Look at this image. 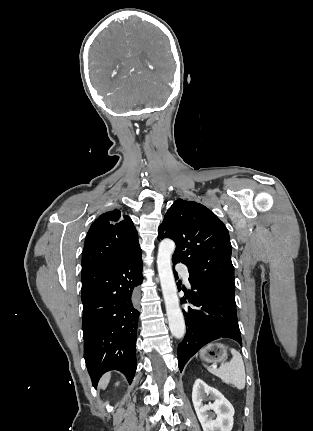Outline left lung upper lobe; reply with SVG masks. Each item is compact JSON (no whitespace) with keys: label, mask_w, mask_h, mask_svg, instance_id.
Instances as JSON below:
<instances>
[{"label":"left lung upper lobe","mask_w":313,"mask_h":431,"mask_svg":"<svg viewBox=\"0 0 313 431\" xmlns=\"http://www.w3.org/2000/svg\"><path fill=\"white\" fill-rule=\"evenodd\" d=\"M176 243L172 261L188 266L192 284L235 293L231 243L224 223L202 204L178 199L158 228Z\"/></svg>","instance_id":"obj_1"}]
</instances>
